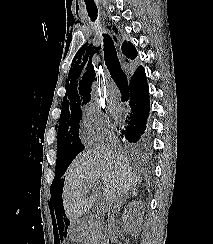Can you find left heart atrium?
Instances as JSON below:
<instances>
[{"instance_id":"obj_1","label":"left heart atrium","mask_w":213,"mask_h":244,"mask_svg":"<svg viewBox=\"0 0 213 244\" xmlns=\"http://www.w3.org/2000/svg\"><path fill=\"white\" fill-rule=\"evenodd\" d=\"M118 107L116 106V104H112L111 106V113L114 117H117L118 114H119V111H118Z\"/></svg>"}]
</instances>
